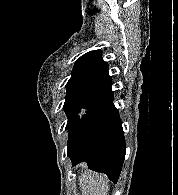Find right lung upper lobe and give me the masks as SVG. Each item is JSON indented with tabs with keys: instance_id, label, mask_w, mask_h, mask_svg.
<instances>
[{
	"instance_id": "obj_1",
	"label": "right lung upper lobe",
	"mask_w": 178,
	"mask_h": 195,
	"mask_svg": "<svg viewBox=\"0 0 178 195\" xmlns=\"http://www.w3.org/2000/svg\"><path fill=\"white\" fill-rule=\"evenodd\" d=\"M72 76L66 85V95L98 97L111 90L108 64L102 59L100 50L90 51L75 63Z\"/></svg>"
}]
</instances>
